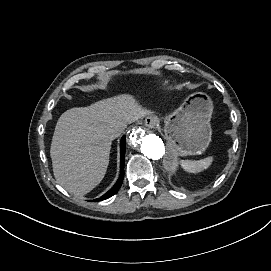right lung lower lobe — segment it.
<instances>
[{
    "instance_id": "right-lung-lower-lobe-1",
    "label": "right lung lower lobe",
    "mask_w": 271,
    "mask_h": 271,
    "mask_svg": "<svg viewBox=\"0 0 271 271\" xmlns=\"http://www.w3.org/2000/svg\"><path fill=\"white\" fill-rule=\"evenodd\" d=\"M125 145H126V138H125V136H123L121 139V143H120V157H121L120 169H121V173H120V176H119L117 182L107 193H105L103 196H101L100 198H97L93 201H101V200L108 199L111 196H113L114 194H116L118 192V190L120 189L122 182H123V178H124Z\"/></svg>"
}]
</instances>
